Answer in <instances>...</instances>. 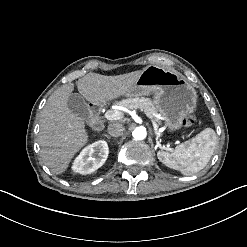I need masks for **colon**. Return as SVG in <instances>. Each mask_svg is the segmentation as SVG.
<instances>
[{"instance_id": "1", "label": "colon", "mask_w": 247, "mask_h": 247, "mask_svg": "<svg viewBox=\"0 0 247 247\" xmlns=\"http://www.w3.org/2000/svg\"><path fill=\"white\" fill-rule=\"evenodd\" d=\"M184 121H186L187 123L193 122L190 118H185Z\"/></svg>"}]
</instances>
